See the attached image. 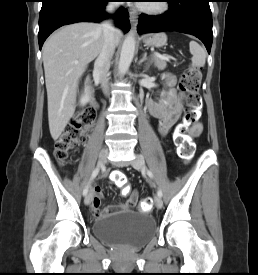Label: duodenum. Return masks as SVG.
Segmentation results:
<instances>
[{
    "instance_id": "obj_1",
    "label": "duodenum",
    "mask_w": 258,
    "mask_h": 275,
    "mask_svg": "<svg viewBox=\"0 0 258 275\" xmlns=\"http://www.w3.org/2000/svg\"><path fill=\"white\" fill-rule=\"evenodd\" d=\"M88 100H89L90 104L93 107L96 106V101H95V97H94V91H93V89L91 87L88 90Z\"/></svg>"
}]
</instances>
